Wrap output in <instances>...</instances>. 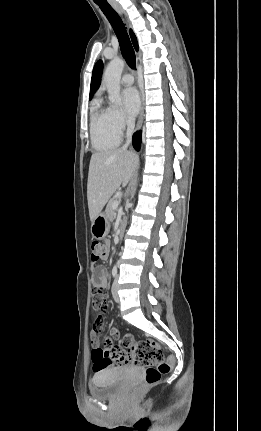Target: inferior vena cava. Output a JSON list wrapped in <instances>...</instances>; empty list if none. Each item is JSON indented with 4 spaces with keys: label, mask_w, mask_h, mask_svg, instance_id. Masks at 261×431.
<instances>
[{
    "label": "inferior vena cava",
    "mask_w": 261,
    "mask_h": 431,
    "mask_svg": "<svg viewBox=\"0 0 261 431\" xmlns=\"http://www.w3.org/2000/svg\"><path fill=\"white\" fill-rule=\"evenodd\" d=\"M134 127H135L134 119L129 118L127 121V133H126L127 141L125 145L122 147L123 149H127L128 145L130 144Z\"/></svg>",
    "instance_id": "1"
}]
</instances>
